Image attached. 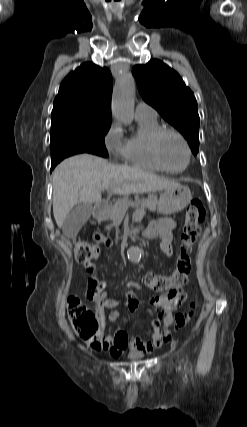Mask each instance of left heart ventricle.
Masks as SVG:
<instances>
[{
	"mask_svg": "<svg viewBox=\"0 0 247 427\" xmlns=\"http://www.w3.org/2000/svg\"><path fill=\"white\" fill-rule=\"evenodd\" d=\"M160 154L164 163L171 169H181L187 161L183 143L173 134H166L160 142Z\"/></svg>",
	"mask_w": 247,
	"mask_h": 427,
	"instance_id": "left-heart-ventricle-1",
	"label": "left heart ventricle"
}]
</instances>
